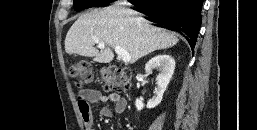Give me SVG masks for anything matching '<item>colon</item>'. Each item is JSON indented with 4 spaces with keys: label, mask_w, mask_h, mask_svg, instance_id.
Instances as JSON below:
<instances>
[{
    "label": "colon",
    "mask_w": 257,
    "mask_h": 130,
    "mask_svg": "<svg viewBox=\"0 0 257 130\" xmlns=\"http://www.w3.org/2000/svg\"><path fill=\"white\" fill-rule=\"evenodd\" d=\"M70 75L78 85L90 83L93 79L92 67L85 61L76 62L70 67ZM101 77L107 91L122 93L127 91L131 85V73L124 68L106 67Z\"/></svg>",
    "instance_id": "obj_1"
}]
</instances>
